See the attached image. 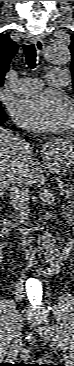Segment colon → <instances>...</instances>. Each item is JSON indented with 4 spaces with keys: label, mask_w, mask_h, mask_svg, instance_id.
Instances as JSON below:
<instances>
[{
    "label": "colon",
    "mask_w": 74,
    "mask_h": 366,
    "mask_svg": "<svg viewBox=\"0 0 74 366\" xmlns=\"http://www.w3.org/2000/svg\"><path fill=\"white\" fill-rule=\"evenodd\" d=\"M26 366H52V365L49 363H46L45 361L40 360V361H36L32 364H26Z\"/></svg>",
    "instance_id": "1"
}]
</instances>
